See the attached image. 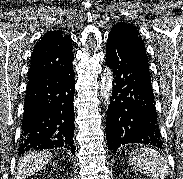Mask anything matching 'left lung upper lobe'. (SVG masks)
<instances>
[{"label":"left lung upper lobe","instance_id":"left-lung-upper-lobe-1","mask_svg":"<svg viewBox=\"0 0 183 179\" xmlns=\"http://www.w3.org/2000/svg\"><path fill=\"white\" fill-rule=\"evenodd\" d=\"M110 32H119L120 35L126 38H133L134 40H137L138 42H140V44L144 47V42L140 34L135 29V27L131 24L120 22L117 25H115ZM144 51H145V47H144Z\"/></svg>","mask_w":183,"mask_h":179}]
</instances>
